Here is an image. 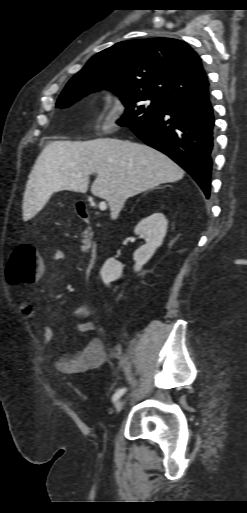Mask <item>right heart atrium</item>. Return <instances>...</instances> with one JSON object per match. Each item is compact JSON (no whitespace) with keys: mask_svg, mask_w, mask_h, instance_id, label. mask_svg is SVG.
Here are the masks:
<instances>
[{"mask_svg":"<svg viewBox=\"0 0 247 513\" xmlns=\"http://www.w3.org/2000/svg\"><path fill=\"white\" fill-rule=\"evenodd\" d=\"M128 113V104L123 93L114 91L108 103L107 111L101 123L104 133L114 132Z\"/></svg>","mask_w":247,"mask_h":513,"instance_id":"obj_1","label":"right heart atrium"}]
</instances>
